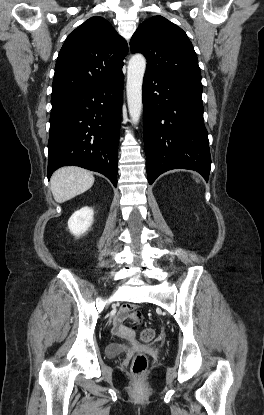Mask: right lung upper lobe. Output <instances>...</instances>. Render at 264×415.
I'll list each match as a JSON object with an SVG mask.
<instances>
[{
    "mask_svg": "<svg viewBox=\"0 0 264 415\" xmlns=\"http://www.w3.org/2000/svg\"><path fill=\"white\" fill-rule=\"evenodd\" d=\"M127 53V43L107 20L89 18L68 35L59 52L51 96L116 79L123 74Z\"/></svg>",
    "mask_w": 264,
    "mask_h": 415,
    "instance_id": "1",
    "label": "right lung upper lobe"
}]
</instances>
